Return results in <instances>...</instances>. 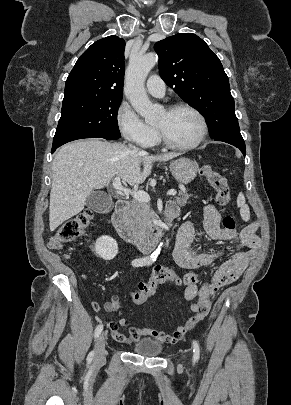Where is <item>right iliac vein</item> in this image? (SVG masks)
Returning <instances> with one entry per match:
<instances>
[{
  "instance_id": "obj_1",
  "label": "right iliac vein",
  "mask_w": 291,
  "mask_h": 405,
  "mask_svg": "<svg viewBox=\"0 0 291 405\" xmlns=\"http://www.w3.org/2000/svg\"><path fill=\"white\" fill-rule=\"evenodd\" d=\"M105 344H106V336L104 333H102L95 343V351H96L95 359L99 363L102 362L105 358Z\"/></svg>"
}]
</instances>
